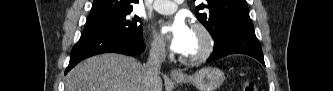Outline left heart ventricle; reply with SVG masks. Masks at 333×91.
Listing matches in <instances>:
<instances>
[{"instance_id": "b2bd125f", "label": "left heart ventricle", "mask_w": 333, "mask_h": 91, "mask_svg": "<svg viewBox=\"0 0 333 91\" xmlns=\"http://www.w3.org/2000/svg\"><path fill=\"white\" fill-rule=\"evenodd\" d=\"M203 44L202 37L192 30L190 40L186 50L182 53L186 56H191L199 52Z\"/></svg>"}]
</instances>
